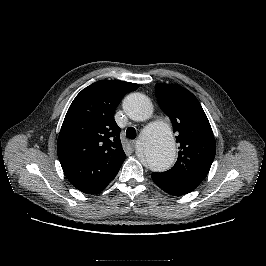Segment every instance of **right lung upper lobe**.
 <instances>
[{"mask_svg":"<svg viewBox=\"0 0 266 266\" xmlns=\"http://www.w3.org/2000/svg\"><path fill=\"white\" fill-rule=\"evenodd\" d=\"M138 84L101 80L83 89L63 121L57 154L63 172L78 190L94 194L118 173L126 154L114 111L122 97Z\"/></svg>","mask_w":266,"mask_h":266,"instance_id":"cb5924a9","label":"right lung upper lobe"}]
</instances>
